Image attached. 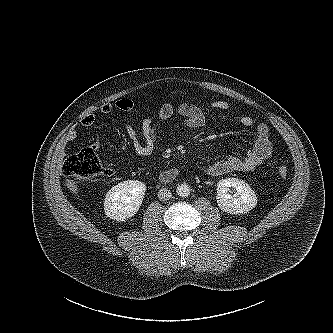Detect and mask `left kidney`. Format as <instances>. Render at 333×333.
Listing matches in <instances>:
<instances>
[{
    "mask_svg": "<svg viewBox=\"0 0 333 333\" xmlns=\"http://www.w3.org/2000/svg\"><path fill=\"white\" fill-rule=\"evenodd\" d=\"M216 201L222 211L232 215L247 213L257 205L255 192L245 181L237 178L222 179L217 183Z\"/></svg>",
    "mask_w": 333,
    "mask_h": 333,
    "instance_id": "1",
    "label": "left kidney"
}]
</instances>
